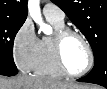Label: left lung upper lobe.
<instances>
[{
  "instance_id": "left-lung-upper-lobe-1",
  "label": "left lung upper lobe",
  "mask_w": 107,
  "mask_h": 89,
  "mask_svg": "<svg viewBox=\"0 0 107 89\" xmlns=\"http://www.w3.org/2000/svg\"><path fill=\"white\" fill-rule=\"evenodd\" d=\"M89 41L94 60L107 53V0H52Z\"/></svg>"
}]
</instances>
